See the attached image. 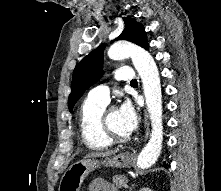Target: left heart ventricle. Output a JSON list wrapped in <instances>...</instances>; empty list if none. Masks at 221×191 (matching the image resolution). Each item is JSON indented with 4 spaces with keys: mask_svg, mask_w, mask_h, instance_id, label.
I'll return each mask as SVG.
<instances>
[{
    "mask_svg": "<svg viewBox=\"0 0 221 191\" xmlns=\"http://www.w3.org/2000/svg\"><path fill=\"white\" fill-rule=\"evenodd\" d=\"M108 120H109V124L111 125V127L117 133L121 135H129V133H127L121 125V120H120V115H119L118 110H115V109L111 110Z\"/></svg>",
    "mask_w": 221,
    "mask_h": 191,
    "instance_id": "left-heart-ventricle-1",
    "label": "left heart ventricle"
}]
</instances>
